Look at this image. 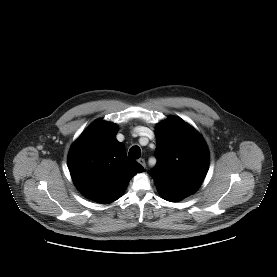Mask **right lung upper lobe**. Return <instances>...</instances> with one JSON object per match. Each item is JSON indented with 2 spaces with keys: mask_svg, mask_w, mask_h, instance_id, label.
<instances>
[{
  "mask_svg": "<svg viewBox=\"0 0 277 277\" xmlns=\"http://www.w3.org/2000/svg\"><path fill=\"white\" fill-rule=\"evenodd\" d=\"M117 127L98 119L73 143L68 166L75 186L87 198L107 204L125 191L131 177L144 168L126 155L115 138Z\"/></svg>",
  "mask_w": 277,
  "mask_h": 277,
  "instance_id": "1",
  "label": "right lung upper lobe"
}]
</instances>
